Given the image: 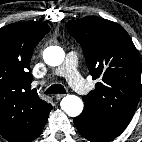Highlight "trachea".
<instances>
[{
  "label": "trachea",
  "mask_w": 142,
  "mask_h": 142,
  "mask_svg": "<svg viewBox=\"0 0 142 142\" xmlns=\"http://www.w3.org/2000/svg\"><path fill=\"white\" fill-rule=\"evenodd\" d=\"M65 94L66 90L61 84H54L50 86L46 91L45 94Z\"/></svg>",
  "instance_id": "obj_1"
}]
</instances>
